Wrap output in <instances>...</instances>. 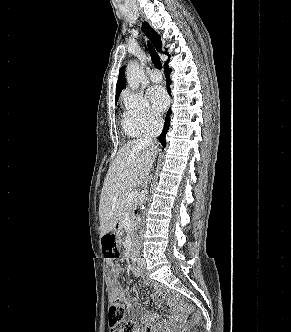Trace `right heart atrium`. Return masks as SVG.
I'll list each match as a JSON object with an SVG mask.
<instances>
[{
  "instance_id": "d8ad5b80",
  "label": "right heart atrium",
  "mask_w": 291,
  "mask_h": 332,
  "mask_svg": "<svg viewBox=\"0 0 291 332\" xmlns=\"http://www.w3.org/2000/svg\"><path fill=\"white\" fill-rule=\"evenodd\" d=\"M124 123L139 133L151 131L161 124L146 98L139 92L126 91L123 94Z\"/></svg>"
}]
</instances>
